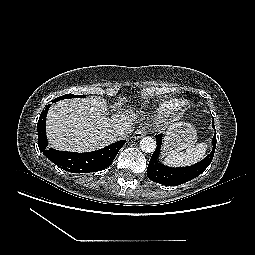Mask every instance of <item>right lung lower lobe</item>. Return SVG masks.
Listing matches in <instances>:
<instances>
[{
  "instance_id": "1",
  "label": "right lung lower lobe",
  "mask_w": 255,
  "mask_h": 255,
  "mask_svg": "<svg viewBox=\"0 0 255 255\" xmlns=\"http://www.w3.org/2000/svg\"><path fill=\"white\" fill-rule=\"evenodd\" d=\"M49 106L42 111L38 120V146L43 154L61 169L71 173L101 171L111 165L125 141H118L101 150L75 153L47 149L46 116Z\"/></svg>"
}]
</instances>
